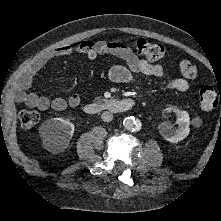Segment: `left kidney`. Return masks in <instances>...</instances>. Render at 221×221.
I'll list each match as a JSON object with an SVG mask.
<instances>
[{"instance_id": "left-kidney-1", "label": "left kidney", "mask_w": 221, "mask_h": 221, "mask_svg": "<svg viewBox=\"0 0 221 221\" xmlns=\"http://www.w3.org/2000/svg\"><path fill=\"white\" fill-rule=\"evenodd\" d=\"M166 110L176 113V123L178 124V128L172 129V126L168 122H162L158 126L159 132L165 140L171 143H178L179 141L186 138L190 132L189 114L187 111L179 110L177 107H168Z\"/></svg>"}]
</instances>
